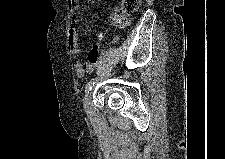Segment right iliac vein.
<instances>
[{"label": "right iliac vein", "instance_id": "obj_1", "mask_svg": "<svg viewBox=\"0 0 225 159\" xmlns=\"http://www.w3.org/2000/svg\"><path fill=\"white\" fill-rule=\"evenodd\" d=\"M90 91L87 93V95L84 98V107L87 111V113H90V107H91V101H90Z\"/></svg>", "mask_w": 225, "mask_h": 159}]
</instances>
